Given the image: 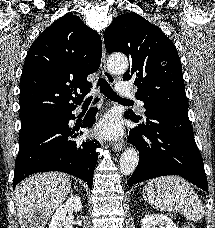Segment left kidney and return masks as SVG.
<instances>
[{
  "label": "left kidney",
  "mask_w": 215,
  "mask_h": 228,
  "mask_svg": "<svg viewBox=\"0 0 215 228\" xmlns=\"http://www.w3.org/2000/svg\"><path fill=\"white\" fill-rule=\"evenodd\" d=\"M141 228H177V226L167 216L151 214V216H145L141 220Z\"/></svg>",
  "instance_id": "left-kidney-1"
}]
</instances>
